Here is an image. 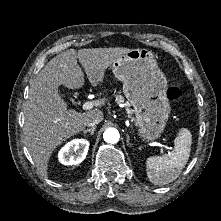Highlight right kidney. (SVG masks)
Masks as SVG:
<instances>
[{
    "label": "right kidney",
    "mask_w": 221,
    "mask_h": 221,
    "mask_svg": "<svg viewBox=\"0 0 221 221\" xmlns=\"http://www.w3.org/2000/svg\"><path fill=\"white\" fill-rule=\"evenodd\" d=\"M88 149L89 141L74 139L61 148L58 153V159L63 165H77L86 158Z\"/></svg>",
    "instance_id": "obj_1"
}]
</instances>
